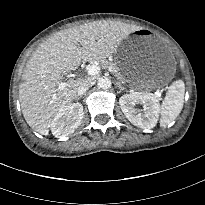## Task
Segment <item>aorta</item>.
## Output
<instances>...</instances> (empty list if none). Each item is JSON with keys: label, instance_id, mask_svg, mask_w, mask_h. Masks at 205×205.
<instances>
[{"label": "aorta", "instance_id": "1", "mask_svg": "<svg viewBox=\"0 0 205 205\" xmlns=\"http://www.w3.org/2000/svg\"><path fill=\"white\" fill-rule=\"evenodd\" d=\"M97 85L101 89H108L111 87V81L106 77H101L98 79Z\"/></svg>", "mask_w": 205, "mask_h": 205}]
</instances>
